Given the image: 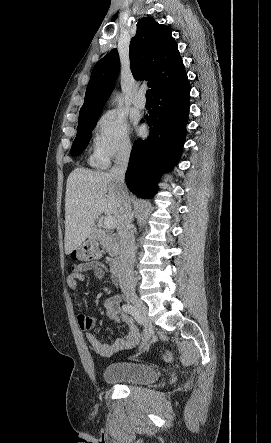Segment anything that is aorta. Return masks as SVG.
Masks as SVG:
<instances>
[{
    "mask_svg": "<svg viewBox=\"0 0 271 443\" xmlns=\"http://www.w3.org/2000/svg\"><path fill=\"white\" fill-rule=\"evenodd\" d=\"M121 100L122 96H120V94H117L115 102H121Z\"/></svg>",
    "mask_w": 271,
    "mask_h": 443,
    "instance_id": "762f6f07",
    "label": "aorta"
}]
</instances>
